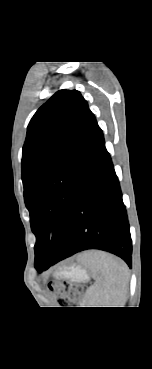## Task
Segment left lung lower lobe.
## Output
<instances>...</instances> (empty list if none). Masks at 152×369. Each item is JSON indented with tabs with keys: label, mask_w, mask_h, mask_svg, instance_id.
Returning a JSON list of instances; mask_svg holds the SVG:
<instances>
[{
	"label": "left lung lower lobe",
	"mask_w": 152,
	"mask_h": 369,
	"mask_svg": "<svg viewBox=\"0 0 152 369\" xmlns=\"http://www.w3.org/2000/svg\"><path fill=\"white\" fill-rule=\"evenodd\" d=\"M86 249L111 252L131 268L132 241L127 212L99 126L86 155L84 173L62 245L54 258L42 261L35 268L42 272Z\"/></svg>",
	"instance_id": "left-lung-lower-lobe-1"
}]
</instances>
